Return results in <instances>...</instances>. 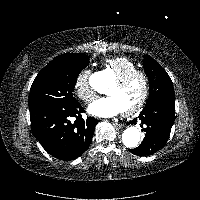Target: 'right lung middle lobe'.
Masks as SVG:
<instances>
[{
	"instance_id": "right-lung-middle-lobe-1",
	"label": "right lung middle lobe",
	"mask_w": 200,
	"mask_h": 200,
	"mask_svg": "<svg viewBox=\"0 0 200 200\" xmlns=\"http://www.w3.org/2000/svg\"><path fill=\"white\" fill-rule=\"evenodd\" d=\"M89 64V58L81 53H67L54 58L36 76L29 95V108L58 104L71 105L77 100L73 91L77 77Z\"/></svg>"
}]
</instances>
